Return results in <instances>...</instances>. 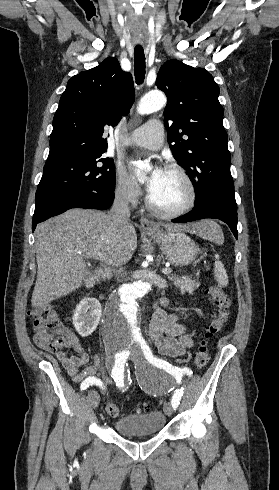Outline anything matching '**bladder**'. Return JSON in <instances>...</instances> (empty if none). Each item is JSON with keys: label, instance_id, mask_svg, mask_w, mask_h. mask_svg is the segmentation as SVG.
<instances>
[{"label": "bladder", "instance_id": "obj_1", "mask_svg": "<svg viewBox=\"0 0 279 490\" xmlns=\"http://www.w3.org/2000/svg\"><path fill=\"white\" fill-rule=\"evenodd\" d=\"M166 414L161 411L130 415L113 422L118 435H155L163 430Z\"/></svg>", "mask_w": 279, "mask_h": 490}]
</instances>
